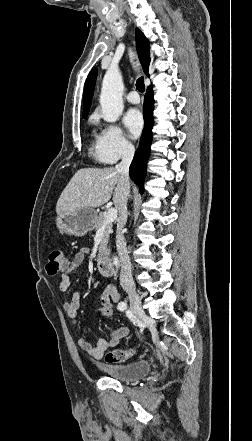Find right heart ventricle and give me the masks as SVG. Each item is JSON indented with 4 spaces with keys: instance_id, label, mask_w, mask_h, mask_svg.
I'll return each mask as SVG.
<instances>
[{
    "instance_id": "right-heart-ventricle-1",
    "label": "right heart ventricle",
    "mask_w": 252,
    "mask_h": 441,
    "mask_svg": "<svg viewBox=\"0 0 252 441\" xmlns=\"http://www.w3.org/2000/svg\"><path fill=\"white\" fill-rule=\"evenodd\" d=\"M92 121H94V120H92ZM90 150H91V153H93V155H94L95 157L98 158V153H97V141H96V144L93 145V146L91 147Z\"/></svg>"
}]
</instances>
